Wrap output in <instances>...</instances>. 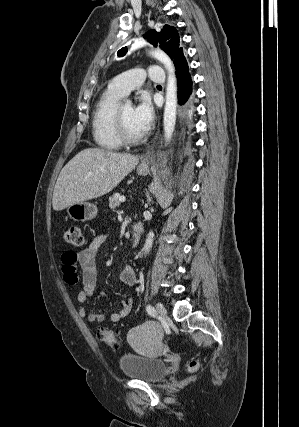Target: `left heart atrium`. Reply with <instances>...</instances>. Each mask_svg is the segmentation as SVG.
Masks as SVG:
<instances>
[{
    "instance_id": "39dd6f15",
    "label": "left heart atrium",
    "mask_w": 299,
    "mask_h": 427,
    "mask_svg": "<svg viewBox=\"0 0 299 427\" xmlns=\"http://www.w3.org/2000/svg\"><path fill=\"white\" fill-rule=\"evenodd\" d=\"M135 123L142 132H146L152 125L154 113L150 101L143 97L133 109Z\"/></svg>"
}]
</instances>
